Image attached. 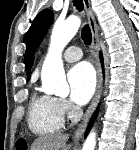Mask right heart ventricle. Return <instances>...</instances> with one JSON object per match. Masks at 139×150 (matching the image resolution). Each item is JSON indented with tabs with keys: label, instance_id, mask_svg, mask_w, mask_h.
Here are the masks:
<instances>
[{
	"label": "right heart ventricle",
	"instance_id": "right-heart-ventricle-1",
	"mask_svg": "<svg viewBox=\"0 0 139 150\" xmlns=\"http://www.w3.org/2000/svg\"><path fill=\"white\" fill-rule=\"evenodd\" d=\"M28 126L38 135L57 132L64 123V113L58 99L39 91H34L28 107Z\"/></svg>",
	"mask_w": 139,
	"mask_h": 150
}]
</instances>
